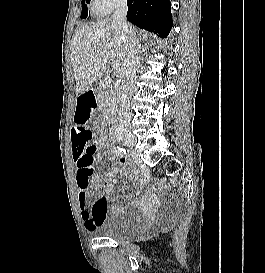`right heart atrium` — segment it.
I'll return each mask as SVG.
<instances>
[{
	"instance_id": "1",
	"label": "right heart atrium",
	"mask_w": 265,
	"mask_h": 273,
	"mask_svg": "<svg viewBox=\"0 0 265 273\" xmlns=\"http://www.w3.org/2000/svg\"><path fill=\"white\" fill-rule=\"evenodd\" d=\"M126 0H91V6L96 14H107L123 6Z\"/></svg>"
}]
</instances>
